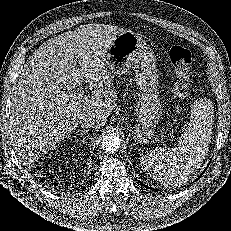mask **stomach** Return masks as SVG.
I'll return each instance as SVG.
<instances>
[{
  "label": "stomach",
  "mask_w": 231,
  "mask_h": 231,
  "mask_svg": "<svg viewBox=\"0 0 231 231\" xmlns=\"http://www.w3.org/2000/svg\"><path fill=\"white\" fill-rule=\"evenodd\" d=\"M152 50L144 40L131 30L117 35L106 51V66L114 76L125 74L131 67L136 72L139 87L137 123L134 138L140 143L149 142L156 125L162 118L159 98L158 74Z\"/></svg>",
  "instance_id": "0dacf381"
}]
</instances>
